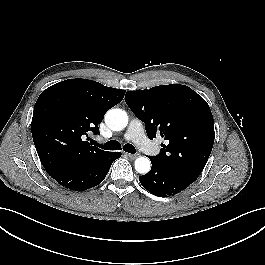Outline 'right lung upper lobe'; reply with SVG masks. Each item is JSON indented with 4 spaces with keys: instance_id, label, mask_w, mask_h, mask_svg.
I'll list each match as a JSON object with an SVG mask.
<instances>
[{
    "instance_id": "1",
    "label": "right lung upper lobe",
    "mask_w": 265,
    "mask_h": 265,
    "mask_svg": "<svg viewBox=\"0 0 265 265\" xmlns=\"http://www.w3.org/2000/svg\"><path fill=\"white\" fill-rule=\"evenodd\" d=\"M125 90L86 79L50 86L37 99L31 123L33 141L49 175L100 160L106 154L85 140L99 134L105 113L122 101Z\"/></svg>"
}]
</instances>
